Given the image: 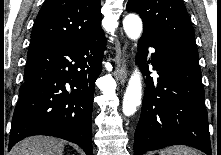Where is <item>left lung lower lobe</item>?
I'll list each match as a JSON object with an SVG mask.
<instances>
[{
	"mask_svg": "<svg viewBox=\"0 0 221 155\" xmlns=\"http://www.w3.org/2000/svg\"><path fill=\"white\" fill-rule=\"evenodd\" d=\"M137 53L141 69L146 48H155L151 61L158 78L146 71V90L134 137V155L185 144L212 155L198 52L142 36Z\"/></svg>",
	"mask_w": 221,
	"mask_h": 155,
	"instance_id": "0a47b994",
	"label": "left lung lower lobe"
}]
</instances>
